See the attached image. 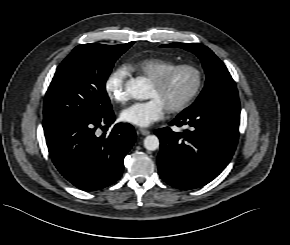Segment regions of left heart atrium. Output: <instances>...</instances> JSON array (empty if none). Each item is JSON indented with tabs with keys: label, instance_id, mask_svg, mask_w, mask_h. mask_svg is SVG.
<instances>
[{
	"label": "left heart atrium",
	"instance_id": "1",
	"mask_svg": "<svg viewBox=\"0 0 290 245\" xmlns=\"http://www.w3.org/2000/svg\"><path fill=\"white\" fill-rule=\"evenodd\" d=\"M167 108L157 98L137 102L121 112V119L130 124L147 127L161 120Z\"/></svg>",
	"mask_w": 290,
	"mask_h": 245
}]
</instances>
